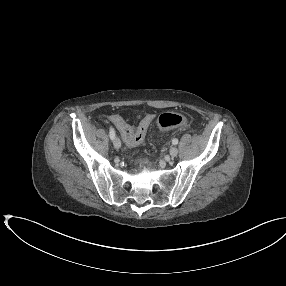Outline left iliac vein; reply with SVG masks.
I'll list each match as a JSON object with an SVG mask.
<instances>
[{
  "label": "left iliac vein",
  "instance_id": "1",
  "mask_svg": "<svg viewBox=\"0 0 286 286\" xmlns=\"http://www.w3.org/2000/svg\"><path fill=\"white\" fill-rule=\"evenodd\" d=\"M169 154L170 156L173 158V157H176L177 154H178V149L177 147L173 146L170 148V151H169Z\"/></svg>",
  "mask_w": 286,
  "mask_h": 286
}]
</instances>
